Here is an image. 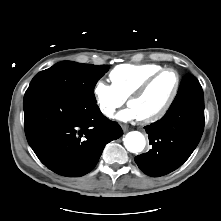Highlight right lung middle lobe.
Here are the masks:
<instances>
[{
	"instance_id": "dd1d6c3e",
	"label": "right lung middle lobe",
	"mask_w": 221,
	"mask_h": 221,
	"mask_svg": "<svg viewBox=\"0 0 221 221\" xmlns=\"http://www.w3.org/2000/svg\"><path fill=\"white\" fill-rule=\"evenodd\" d=\"M107 71L106 65L59 62L36 74L25 95L47 93L83 103L96 104L94 87Z\"/></svg>"
}]
</instances>
